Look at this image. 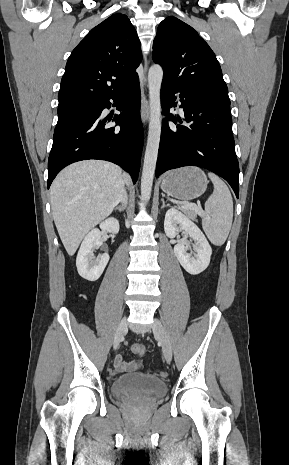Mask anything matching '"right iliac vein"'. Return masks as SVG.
<instances>
[{
	"label": "right iliac vein",
	"mask_w": 289,
	"mask_h": 465,
	"mask_svg": "<svg viewBox=\"0 0 289 465\" xmlns=\"http://www.w3.org/2000/svg\"><path fill=\"white\" fill-rule=\"evenodd\" d=\"M126 331H127V320H126V318H123L121 320L120 324L118 325V328H117L116 333H115L114 349H116L119 346V343L122 340V338L124 337V335L126 334Z\"/></svg>",
	"instance_id": "right-iliac-vein-1"
}]
</instances>
